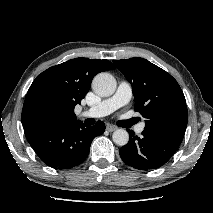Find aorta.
Returning <instances> with one entry per match:
<instances>
[{
  "label": "aorta",
  "instance_id": "obj_1",
  "mask_svg": "<svg viewBox=\"0 0 213 213\" xmlns=\"http://www.w3.org/2000/svg\"><path fill=\"white\" fill-rule=\"evenodd\" d=\"M92 88L96 94L108 97L116 90V80L111 74L102 72L94 77ZM112 140L116 145L124 146L129 141V134L124 129H117L112 134Z\"/></svg>",
  "mask_w": 213,
  "mask_h": 213
}]
</instances>
